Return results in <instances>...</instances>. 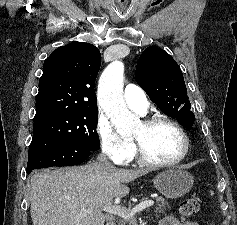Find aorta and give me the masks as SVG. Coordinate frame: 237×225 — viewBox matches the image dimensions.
I'll list each match as a JSON object with an SVG mask.
<instances>
[{
    "mask_svg": "<svg viewBox=\"0 0 237 225\" xmlns=\"http://www.w3.org/2000/svg\"><path fill=\"white\" fill-rule=\"evenodd\" d=\"M124 65L115 60L103 71L98 84V102L121 135L130 133L139 122L123 99Z\"/></svg>",
    "mask_w": 237,
    "mask_h": 225,
    "instance_id": "aorta-1",
    "label": "aorta"
}]
</instances>
